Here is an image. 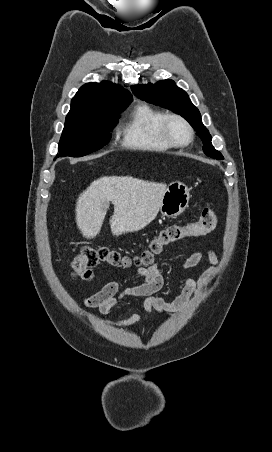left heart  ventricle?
Listing matches in <instances>:
<instances>
[{
    "mask_svg": "<svg viewBox=\"0 0 272 452\" xmlns=\"http://www.w3.org/2000/svg\"><path fill=\"white\" fill-rule=\"evenodd\" d=\"M170 132L173 138L178 142H184L188 138L186 128L178 121H172L170 124Z\"/></svg>",
    "mask_w": 272,
    "mask_h": 452,
    "instance_id": "1",
    "label": "left heart ventricle"
}]
</instances>
